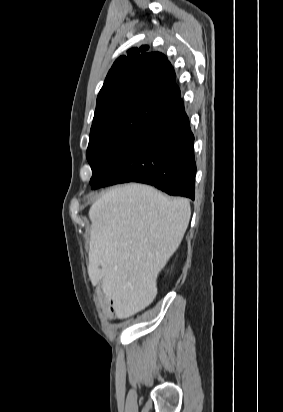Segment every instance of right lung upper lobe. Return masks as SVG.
Here are the masks:
<instances>
[{
	"instance_id": "1",
	"label": "right lung upper lobe",
	"mask_w": 283,
	"mask_h": 412,
	"mask_svg": "<svg viewBox=\"0 0 283 412\" xmlns=\"http://www.w3.org/2000/svg\"><path fill=\"white\" fill-rule=\"evenodd\" d=\"M147 49H130L127 57L114 62L98 94L93 121L130 109L164 112L181 96L167 58L158 52L144 53Z\"/></svg>"
}]
</instances>
